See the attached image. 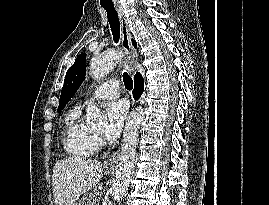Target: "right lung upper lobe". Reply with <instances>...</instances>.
<instances>
[{
	"label": "right lung upper lobe",
	"instance_id": "right-lung-upper-lobe-1",
	"mask_svg": "<svg viewBox=\"0 0 269 205\" xmlns=\"http://www.w3.org/2000/svg\"><path fill=\"white\" fill-rule=\"evenodd\" d=\"M132 44L134 45V47L136 48L137 44L134 40H132Z\"/></svg>",
	"mask_w": 269,
	"mask_h": 205
}]
</instances>
